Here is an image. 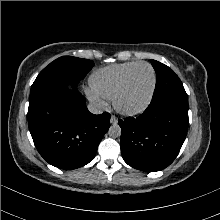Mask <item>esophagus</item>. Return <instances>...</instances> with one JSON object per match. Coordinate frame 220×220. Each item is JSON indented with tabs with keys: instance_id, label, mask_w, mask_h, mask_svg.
I'll list each match as a JSON object with an SVG mask.
<instances>
[{
	"instance_id": "1",
	"label": "esophagus",
	"mask_w": 220,
	"mask_h": 220,
	"mask_svg": "<svg viewBox=\"0 0 220 220\" xmlns=\"http://www.w3.org/2000/svg\"><path fill=\"white\" fill-rule=\"evenodd\" d=\"M110 123L115 125L118 123V119L115 116H111Z\"/></svg>"
}]
</instances>
